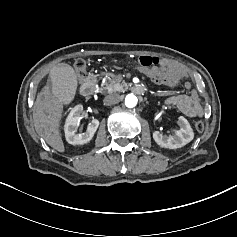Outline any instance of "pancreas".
Here are the masks:
<instances>
[{
  "label": "pancreas",
  "mask_w": 237,
  "mask_h": 237,
  "mask_svg": "<svg viewBox=\"0 0 237 237\" xmlns=\"http://www.w3.org/2000/svg\"><path fill=\"white\" fill-rule=\"evenodd\" d=\"M114 87L115 85L113 83H110V84H105L103 87L101 86L100 87V92L101 93H111V92H114Z\"/></svg>",
  "instance_id": "pancreas-1"
}]
</instances>
